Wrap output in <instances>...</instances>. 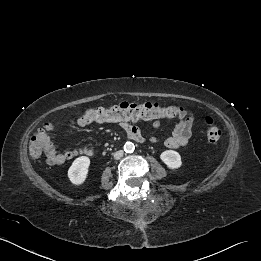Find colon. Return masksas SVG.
<instances>
[{"instance_id":"colon-1","label":"colon","mask_w":261,"mask_h":261,"mask_svg":"<svg viewBox=\"0 0 261 261\" xmlns=\"http://www.w3.org/2000/svg\"><path fill=\"white\" fill-rule=\"evenodd\" d=\"M186 116V111L180 106H161L158 103L145 104L123 103L111 108H91L83 114L87 122H116L171 119ZM206 134L210 143H216L221 137V130L213 118L206 117ZM47 131L39 129L30 140L29 151L33 157H39L44 152Z\"/></svg>"}]
</instances>
